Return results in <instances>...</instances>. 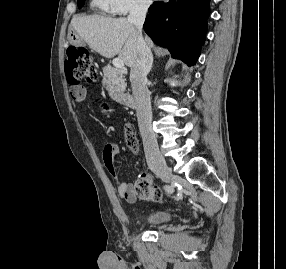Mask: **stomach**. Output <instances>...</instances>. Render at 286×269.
Segmentation results:
<instances>
[{
  "label": "stomach",
  "mask_w": 286,
  "mask_h": 269,
  "mask_svg": "<svg viewBox=\"0 0 286 269\" xmlns=\"http://www.w3.org/2000/svg\"><path fill=\"white\" fill-rule=\"evenodd\" d=\"M68 40L71 44L74 45H81L83 42L82 38L76 33H70L68 35Z\"/></svg>",
  "instance_id": "1"
}]
</instances>
